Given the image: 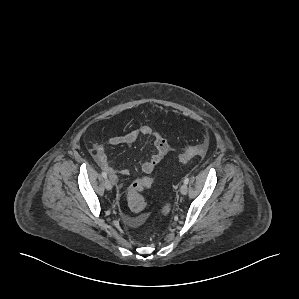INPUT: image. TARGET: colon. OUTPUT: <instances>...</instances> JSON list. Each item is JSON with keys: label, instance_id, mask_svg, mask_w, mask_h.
<instances>
[{"label": "colon", "instance_id": "1", "mask_svg": "<svg viewBox=\"0 0 299 299\" xmlns=\"http://www.w3.org/2000/svg\"><path fill=\"white\" fill-rule=\"evenodd\" d=\"M207 152V145L206 144H200L195 145L187 148L182 154L179 155V162L180 163H187L193 158L196 157H202ZM155 182V179L153 177H142L139 179H136L128 190L127 195V201L130 209L134 212H140L145 207V201L141 195V191L147 187H150ZM169 206L166 205L162 208L161 212L162 214H167L169 212ZM144 217H140L137 220V224L144 221Z\"/></svg>", "mask_w": 299, "mask_h": 299}]
</instances>
